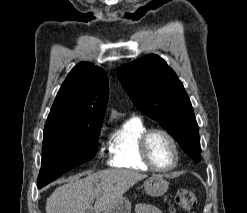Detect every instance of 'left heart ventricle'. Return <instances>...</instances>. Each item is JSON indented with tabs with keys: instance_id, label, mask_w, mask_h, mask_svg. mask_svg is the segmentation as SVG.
Returning a JSON list of instances; mask_svg holds the SVG:
<instances>
[{
	"instance_id": "left-heart-ventricle-1",
	"label": "left heart ventricle",
	"mask_w": 247,
	"mask_h": 213,
	"mask_svg": "<svg viewBox=\"0 0 247 213\" xmlns=\"http://www.w3.org/2000/svg\"><path fill=\"white\" fill-rule=\"evenodd\" d=\"M152 161L161 168L170 167L174 162V150L170 141L162 134H154L149 141Z\"/></svg>"
}]
</instances>
